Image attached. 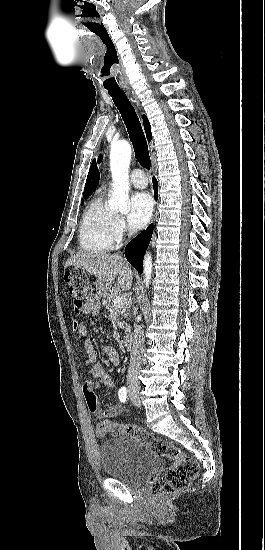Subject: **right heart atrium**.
I'll return each instance as SVG.
<instances>
[{
    "label": "right heart atrium",
    "mask_w": 265,
    "mask_h": 550,
    "mask_svg": "<svg viewBox=\"0 0 265 550\" xmlns=\"http://www.w3.org/2000/svg\"><path fill=\"white\" fill-rule=\"evenodd\" d=\"M126 232V225L122 217L118 216L115 219V234L117 238L122 237Z\"/></svg>",
    "instance_id": "1"
}]
</instances>
